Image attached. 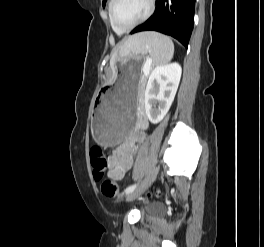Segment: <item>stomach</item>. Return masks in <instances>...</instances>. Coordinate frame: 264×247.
I'll return each mask as SVG.
<instances>
[{
    "label": "stomach",
    "instance_id": "0dacf381",
    "mask_svg": "<svg viewBox=\"0 0 264 247\" xmlns=\"http://www.w3.org/2000/svg\"><path fill=\"white\" fill-rule=\"evenodd\" d=\"M125 61L142 62V57H126ZM142 67V63H116L115 82L100 86L93 106L92 129L94 139L102 147H117L134 130L137 108L133 104Z\"/></svg>",
    "mask_w": 264,
    "mask_h": 247
}]
</instances>
